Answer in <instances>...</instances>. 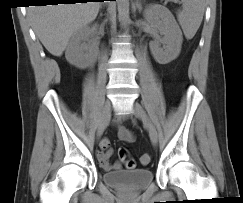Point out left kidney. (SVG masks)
<instances>
[{
  "label": "left kidney",
  "instance_id": "5707ae66",
  "mask_svg": "<svg viewBox=\"0 0 243 203\" xmlns=\"http://www.w3.org/2000/svg\"><path fill=\"white\" fill-rule=\"evenodd\" d=\"M144 18L163 35L149 43L151 53L159 64H168L175 60L181 51L182 32L172 13L161 5H150L144 11ZM163 44V48L160 45Z\"/></svg>",
  "mask_w": 243,
  "mask_h": 203
}]
</instances>
